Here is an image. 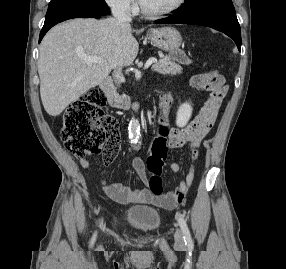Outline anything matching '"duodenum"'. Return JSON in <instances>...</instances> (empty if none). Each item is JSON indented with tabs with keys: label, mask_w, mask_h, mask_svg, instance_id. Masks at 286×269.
<instances>
[{
	"label": "duodenum",
	"mask_w": 286,
	"mask_h": 269,
	"mask_svg": "<svg viewBox=\"0 0 286 269\" xmlns=\"http://www.w3.org/2000/svg\"><path fill=\"white\" fill-rule=\"evenodd\" d=\"M100 86L105 95L106 101L111 108L128 109L131 107L130 102L116 92L111 78L104 79Z\"/></svg>",
	"instance_id": "1"
}]
</instances>
